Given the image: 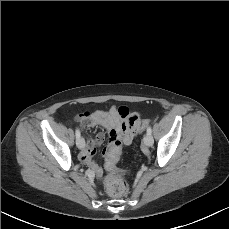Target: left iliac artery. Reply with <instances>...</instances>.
<instances>
[{
	"label": "left iliac artery",
	"instance_id": "left-iliac-artery-1",
	"mask_svg": "<svg viewBox=\"0 0 229 229\" xmlns=\"http://www.w3.org/2000/svg\"><path fill=\"white\" fill-rule=\"evenodd\" d=\"M151 133H152V129H151V127L149 126V127L147 128V134H150V135H151Z\"/></svg>",
	"mask_w": 229,
	"mask_h": 229
}]
</instances>
